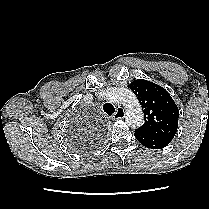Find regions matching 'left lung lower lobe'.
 Segmentation results:
<instances>
[{
    "label": "left lung lower lobe",
    "instance_id": "obj_1",
    "mask_svg": "<svg viewBox=\"0 0 209 209\" xmlns=\"http://www.w3.org/2000/svg\"><path fill=\"white\" fill-rule=\"evenodd\" d=\"M134 135L143 146L151 149H162L171 142L167 138L149 135L138 130H135Z\"/></svg>",
    "mask_w": 209,
    "mask_h": 209
}]
</instances>
